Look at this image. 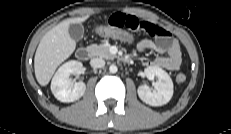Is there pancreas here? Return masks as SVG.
Listing matches in <instances>:
<instances>
[{
    "mask_svg": "<svg viewBox=\"0 0 231 134\" xmlns=\"http://www.w3.org/2000/svg\"><path fill=\"white\" fill-rule=\"evenodd\" d=\"M109 45L106 44H93L88 47V50L92 56L104 58V59H114L117 56L110 53Z\"/></svg>",
    "mask_w": 231,
    "mask_h": 134,
    "instance_id": "cf45deb5",
    "label": "pancreas"
}]
</instances>
